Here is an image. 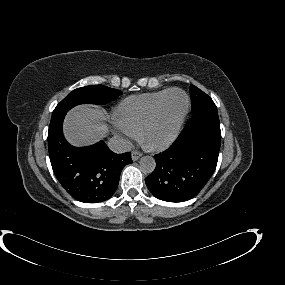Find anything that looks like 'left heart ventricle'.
Listing matches in <instances>:
<instances>
[{
  "mask_svg": "<svg viewBox=\"0 0 285 285\" xmlns=\"http://www.w3.org/2000/svg\"><path fill=\"white\" fill-rule=\"evenodd\" d=\"M186 106L185 96L180 92L169 95L160 119L146 133L145 140L149 144L162 142L174 133L177 123Z\"/></svg>",
  "mask_w": 285,
  "mask_h": 285,
  "instance_id": "1",
  "label": "left heart ventricle"
}]
</instances>
